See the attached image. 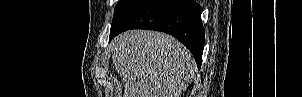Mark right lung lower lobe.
Masks as SVG:
<instances>
[{"label":"right lung lower lobe","instance_id":"1","mask_svg":"<svg viewBox=\"0 0 302 97\" xmlns=\"http://www.w3.org/2000/svg\"><path fill=\"white\" fill-rule=\"evenodd\" d=\"M130 29L157 30L171 34L190 50L200 69L204 28L200 6L193 0H145L110 35V40Z\"/></svg>","mask_w":302,"mask_h":97}]
</instances>
